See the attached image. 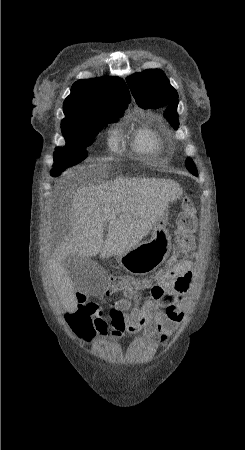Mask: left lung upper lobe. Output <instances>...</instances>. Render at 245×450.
Returning <instances> with one entry per match:
<instances>
[{
  "mask_svg": "<svg viewBox=\"0 0 245 450\" xmlns=\"http://www.w3.org/2000/svg\"><path fill=\"white\" fill-rule=\"evenodd\" d=\"M127 83L137 103L144 108L167 107L165 117L169 123L178 128L177 91L170 85L165 74L159 69H148L128 77ZM186 168L195 176L197 170L191 159L186 160Z\"/></svg>",
  "mask_w": 245,
  "mask_h": 450,
  "instance_id": "left-lung-upper-lobe-1",
  "label": "left lung upper lobe"
}]
</instances>
